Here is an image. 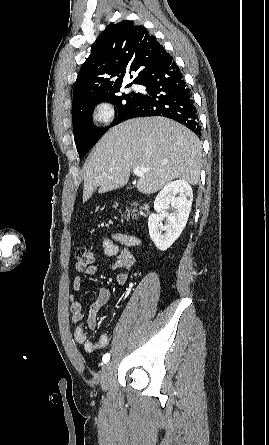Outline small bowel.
I'll use <instances>...</instances> for the list:
<instances>
[{
    "label": "small bowel",
    "instance_id": "1",
    "mask_svg": "<svg viewBox=\"0 0 269 445\" xmlns=\"http://www.w3.org/2000/svg\"><path fill=\"white\" fill-rule=\"evenodd\" d=\"M116 242H118L121 247ZM137 243L138 241L136 238L123 234L115 235V240L106 239L104 241L103 247L105 254L110 257L116 258L113 269L121 270L116 276V280L119 285H124L127 282L129 273L135 265L136 259L131 248L136 246ZM98 272L99 267L97 265H91L83 271V273L87 276L96 275ZM72 286L74 293L80 292L82 288V277L76 276L73 279ZM111 297L112 294L110 290L101 289L99 291L96 300L91 304L89 308L87 319V325L89 329H94L96 327L97 313L100 308L111 299ZM70 310L74 323H79L84 319L83 305L80 301L74 298V295L71 296ZM74 337L79 344L83 345L85 351L88 353H92L98 349L104 348L109 341V337L106 334H102L97 341L88 340L84 328L80 325L76 326L74 330Z\"/></svg>",
    "mask_w": 269,
    "mask_h": 445
}]
</instances>
